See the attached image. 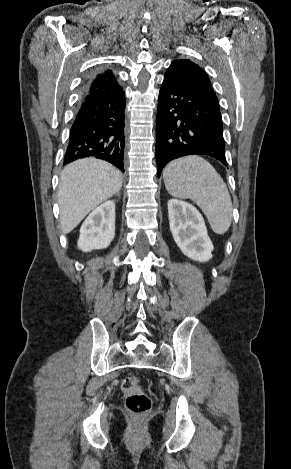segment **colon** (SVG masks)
Returning <instances> with one entry per match:
<instances>
[{
    "label": "colon",
    "instance_id": "5ec220e1",
    "mask_svg": "<svg viewBox=\"0 0 291 469\" xmlns=\"http://www.w3.org/2000/svg\"><path fill=\"white\" fill-rule=\"evenodd\" d=\"M121 389L125 396V406L128 412L136 417L147 415L152 408V400L144 391L140 380L136 376H127L122 380Z\"/></svg>",
    "mask_w": 291,
    "mask_h": 469
}]
</instances>
